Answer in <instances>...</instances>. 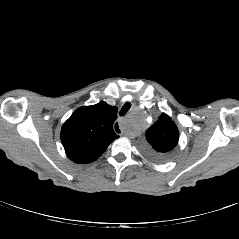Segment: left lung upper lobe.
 <instances>
[{
  "mask_svg": "<svg viewBox=\"0 0 239 239\" xmlns=\"http://www.w3.org/2000/svg\"><path fill=\"white\" fill-rule=\"evenodd\" d=\"M179 131L171 118L162 113L146 131L145 154L154 160H163L170 155L178 143Z\"/></svg>",
  "mask_w": 239,
  "mask_h": 239,
  "instance_id": "obj_1",
  "label": "left lung upper lobe"
}]
</instances>
